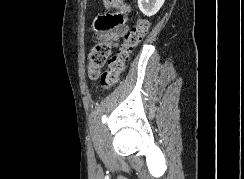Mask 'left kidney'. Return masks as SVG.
Wrapping results in <instances>:
<instances>
[{"label": "left kidney", "instance_id": "1", "mask_svg": "<svg viewBox=\"0 0 244 179\" xmlns=\"http://www.w3.org/2000/svg\"><path fill=\"white\" fill-rule=\"evenodd\" d=\"M165 0H138V8L144 16H154L159 12Z\"/></svg>", "mask_w": 244, "mask_h": 179}]
</instances>
